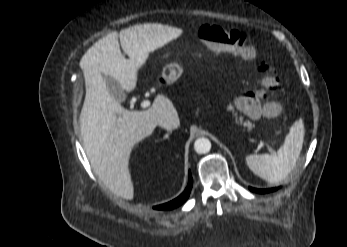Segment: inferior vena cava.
Masks as SVG:
<instances>
[{
    "label": "inferior vena cava",
    "mask_w": 347,
    "mask_h": 247,
    "mask_svg": "<svg viewBox=\"0 0 347 247\" xmlns=\"http://www.w3.org/2000/svg\"><path fill=\"white\" fill-rule=\"evenodd\" d=\"M158 125L167 131L174 130L178 127V119L171 116H164L158 120Z\"/></svg>",
    "instance_id": "inferior-vena-cava-1"
}]
</instances>
